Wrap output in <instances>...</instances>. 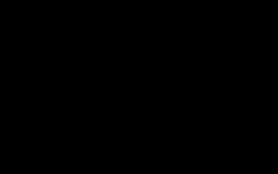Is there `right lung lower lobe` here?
<instances>
[{"mask_svg": "<svg viewBox=\"0 0 278 174\" xmlns=\"http://www.w3.org/2000/svg\"><path fill=\"white\" fill-rule=\"evenodd\" d=\"M135 97L136 90L117 82L114 75L70 70L53 77L50 84L57 131L70 146L85 153L110 147L120 118Z\"/></svg>", "mask_w": 278, "mask_h": 174, "instance_id": "right-lung-lower-lobe-1", "label": "right lung lower lobe"}]
</instances>
